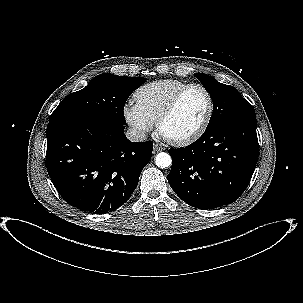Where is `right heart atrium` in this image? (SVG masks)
<instances>
[{"instance_id": "1", "label": "right heart atrium", "mask_w": 303, "mask_h": 303, "mask_svg": "<svg viewBox=\"0 0 303 303\" xmlns=\"http://www.w3.org/2000/svg\"><path fill=\"white\" fill-rule=\"evenodd\" d=\"M123 115L138 137H144L153 128L154 123L141 111L136 103H126L123 108Z\"/></svg>"}]
</instances>
